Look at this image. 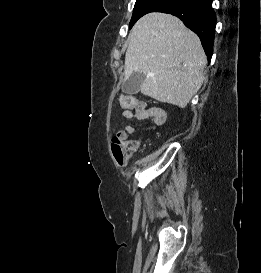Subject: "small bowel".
Listing matches in <instances>:
<instances>
[{
    "instance_id": "1",
    "label": "small bowel",
    "mask_w": 261,
    "mask_h": 273,
    "mask_svg": "<svg viewBox=\"0 0 261 273\" xmlns=\"http://www.w3.org/2000/svg\"><path fill=\"white\" fill-rule=\"evenodd\" d=\"M124 108V107H123ZM123 117L127 120L138 119V120H152L151 129H157L162 126L166 121V112L164 109L159 107L145 108L143 107V113L141 115L136 114L129 108H124L122 113ZM126 134H132L134 128L131 125H127L124 129Z\"/></svg>"
}]
</instances>
